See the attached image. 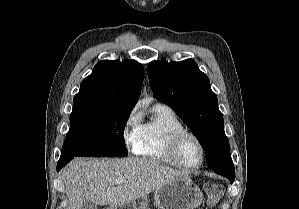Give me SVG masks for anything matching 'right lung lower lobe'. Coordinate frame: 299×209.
I'll use <instances>...</instances> for the list:
<instances>
[{"mask_svg": "<svg viewBox=\"0 0 299 209\" xmlns=\"http://www.w3.org/2000/svg\"><path fill=\"white\" fill-rule=\"evenodd\" d=\"M74 157H60L57 164V171H59L63 166L67 165Z\"/></svg>", "mask_w": 299, "mask_h": 209, "instance_id": "right-lung-lower-lobe-1", "label": "right lung lower lobe"}]
</instances>
